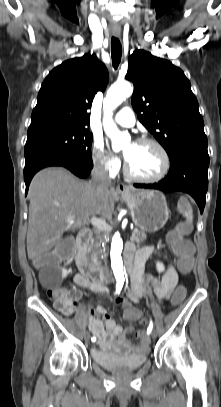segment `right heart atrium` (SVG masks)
<instances>
[{
	"instance_id": "1",
	"label": "right heart atrium",
	"mask_w": 221,
	"mask_h": 407,
	"mask_svg": "<svg viewBox=\"0 0 221 407\" xmlns=\"http://www.w3.org/2000/svg\"><path fill=\"white\" fill-rule=\"evenodd\" d=\"M92 161L98 170L109 175L116 174L121 166L120 160L111 155L100 140H95L93 143Z\"/></svg>"
}]
</instances>
